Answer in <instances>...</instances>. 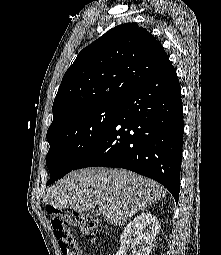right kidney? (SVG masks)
Instances as JSON below:
<instances>
[{"instance_id": "right-kidney-1", "label": "right kidney", "mask_w": 221, "mask_h": 255, "mask_svg": "<svg viewBox=\"0 0 221 255\" xmlns=\"http://www.w3.org/2000/svg\"><path fill=\"white\" fill-rule=\"evenodd\" d=\"M160 228L157 218L150 212H142L130 221L120 236V248L116 255H149L153 240Z\"/></svg>"}]
</instances>
